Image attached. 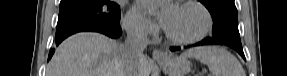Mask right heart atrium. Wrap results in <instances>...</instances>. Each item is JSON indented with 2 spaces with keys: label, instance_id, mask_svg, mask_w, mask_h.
Returning a JSON list of instances; mask_svg holds the SVG:
<instances>
[{
  "label": "right heart atrium",
  "instance_id": "1",
  "mask_svg": "<svg viewBox=\"0 0 287 76\" xmlns=\"http://www.w3.org/2000/svg\"><path fill=\"white\" fill-rule=\"evenodd\" d=\"M124 23L127 30L138 37H147L156 32L155 24L135 10L127 12Z\"/></svg>",
  "mask_w": 287,
  "mask_h": 76
}]
</instances>
